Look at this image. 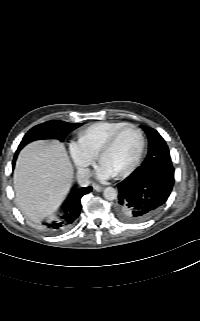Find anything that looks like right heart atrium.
<instances>
[{
    "label": "right heart atrium",
    "instance_id": "d8ad5b80",
    "mask_svg": "<svg viewBox=\"0 0 200 321\" xmlns=\"http://www.w3.org/2000/svg\"><path fill=\"white\" fill-rule=\"evenodd\" d=\"M69 154L81 175H85L88 167L94 162L96 156L84 148L79 141H71L69 143Z\"/></svg>",
    "mask_w": 200,
    "mask_h": 321
}]
</instances>
